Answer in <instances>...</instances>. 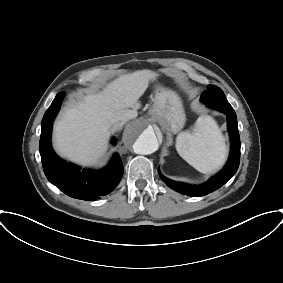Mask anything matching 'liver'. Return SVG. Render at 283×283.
<instances>
[{"instance_id": "1", "label": "liver", "mask_w": 283, "mask_h": 283, "mask_svg": "<svg viewBox=\"0 0 283 283\" xmlns=\"http://www.w3.org/2000/svg\"><path fill=\"white\" fill-rule=\"evenodd\" d=\"M155 78L149 70L121 75L67 108L54 125L56 150L84 166L95 164L107 150L110 127L138 116V100Z\"/></svg>"}]
</instances>
